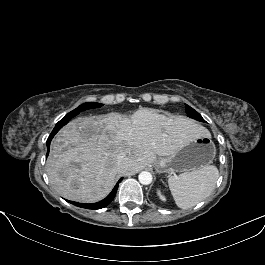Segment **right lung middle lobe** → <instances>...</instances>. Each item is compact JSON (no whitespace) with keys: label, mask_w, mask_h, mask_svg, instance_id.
<instances>
[{"label":"right lung middle lobe","mask_w":265,"mask_h":265,"mask_svg":"<svg viewBox=\"0 0 265 265\" xmlns=\"http://www.w3.org/2000/svg\"><path fill=\"white\" fill-rule=\"evenodd\" d=\"M103 106V104L100 103H95V102H87L84 103L82 105H80L79 107H77L76 109H74L73 111L69 112L64 118H62L55 127L59 126V127H63L65 124H67V122L73 118L74 116L78 115L81 111H85L88 109H93V108H99Z\"/></svg>","instance_id":"right-lung-middle-lobe-1"}]
</instances>
